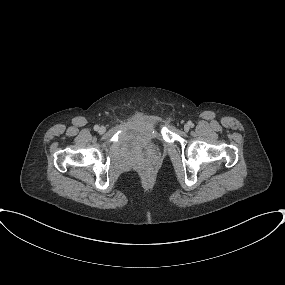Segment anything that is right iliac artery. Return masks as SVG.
<instances>
[{"instance_id": "82829eb1", "label": "right iliac artery", "mask_w": 285, "mask_h": 285, "mask_svg": "<svg viewBox=\"0 0 285 285\" xmlns=\"http://www.w3.org/2000/svg\"><path fill=\"white\" fill-rule=\"evenodd\" d=\"M94 130H95V131H98V130H99V126H98V125H95V126H94Z\"/></svg>"}]
</instances>
